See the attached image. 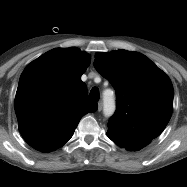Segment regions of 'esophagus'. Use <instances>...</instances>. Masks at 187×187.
Returning <instances> with one entry per match:
<instances>
[{"label":"esophagus","instance_id":"34e87169","mask_svg":"<svg viewBox=\"0 0 187 187\" xmlns=\"http://www.w3.org/2000/svg\"><path fill=\"white\" fill-rule=\"evenodd\" d=\"M102 106H103L102 102H101V101L98 102V108H97V110H98L99 112L102 110Z\"/></svg>","mask_w":187,"mask_h":187}]
</instances>
